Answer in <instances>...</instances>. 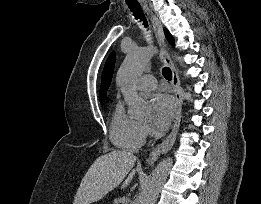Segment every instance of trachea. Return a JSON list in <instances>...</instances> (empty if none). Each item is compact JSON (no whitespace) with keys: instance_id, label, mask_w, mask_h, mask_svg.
<instances>
[{"instance_id":"obj_1","label":"trachea","mask_w":261,"mask_h":204,"mask_svg":"<svg viewBox=\"0 0 261 204\" xmlns=\"http://www.w3.org/2000/svg\"><path fill=\"white\" fill-rule=\"evenodd\" d=\"M128 7L130 8L131 12H133L135 19H139L140 21H143V24L145 25V27H147V21L144 16V13L141 10L140 5L128 4ZM162 74L165 77V79H167V80L172 79V72H171L170 68L164 67L162 69Z\"/></svg>"}]
</instances>
